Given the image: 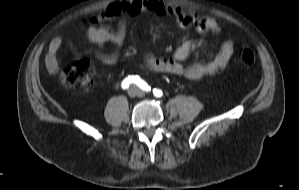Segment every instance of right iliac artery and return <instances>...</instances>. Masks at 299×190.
<instances>
[{"mask_svg":"<svg viewBox=\"0 0 299 190\" xmlns=\"http://www.w3.org/2000/svg\"><path fill=\"white\" fill-rule=\"evenodd\" d=\"M131 83H135L145 91H150L151 89L150 86H148V84L144 80H142L139 76H128L123 80L121 86L123 89H127Z\"/></svg>","mask_w":299,"mask_h":190,"instance_id":"obj_1","label":"right iliac artery"}]
</instances>
